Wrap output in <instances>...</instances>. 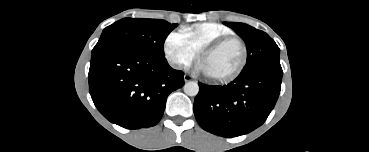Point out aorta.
Masks as SVG:
<instances>
[{
	"label": "aorta",
	"instance_id": "obj_1",
	"mask_svg": "<svg viewBox=\"0 0 369 152\" xmlns=\"http://www.w3.org/2000/svg\"><path fill=\"white\" fill-rule=\"evenodd\" d=\"M183 89H184V93L188 96H196L199 92V86L194 81H189L185 83Z\"/></svg>",
	"mask_w": 369,
	"mask_h": 152
}]
</instances>
